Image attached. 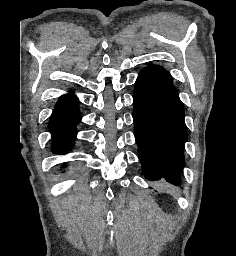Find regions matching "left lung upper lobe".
Here are the masks:
<instances>
[{
	"label": "left lung upper lobe",
	"mask_w": 236,
	"mask_h": 256,
	"mask_svg": "<svg viewBox=\"0 0 236 256\" xmlns=\"http://www.w3.org/2000/svg\"><path fill=\"white\" fill-rule=\"evenodd\" d=\"M147 68H150V69L154 70L155 72L161 74L162 76H164V77H166V78L172 80V77H171V75L169 74V72L166 71V70H165L163 67H161V66L150 65V66L147 67Z\"/></svg>",
	"instance_id": "5c2ea615"
}]
</instances>
